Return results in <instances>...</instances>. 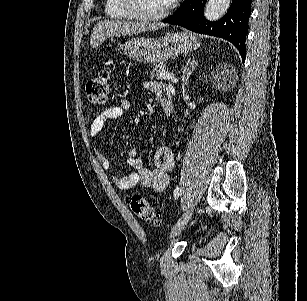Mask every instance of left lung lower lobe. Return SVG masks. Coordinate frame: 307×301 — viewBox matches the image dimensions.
Here are the masks:
<instances>
[{"instance_id":"1","label":"left lung lower lobe","mask_w":307,"mask_h":301,"mask_svg":"<svg viewBox=\"0 0 307 301\" xmlns=\"http://www.w3.org/2000/svg\"><path fill=\"white\" fill-rule=\"evenodd\" d=\"M206 2L207 0H185L179 9L163 22L226 39L236 46L244 61L252 0H232L225 16L216 22L205 19L203 10Z\"/></svg>"}]
</instances>
